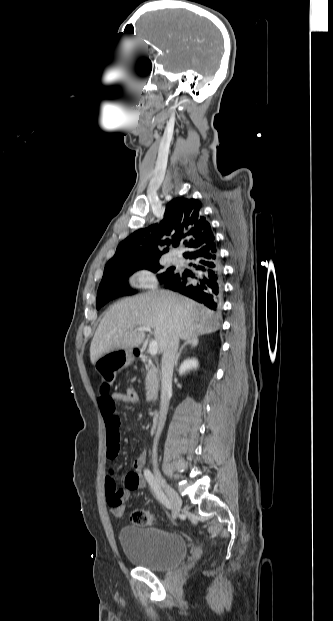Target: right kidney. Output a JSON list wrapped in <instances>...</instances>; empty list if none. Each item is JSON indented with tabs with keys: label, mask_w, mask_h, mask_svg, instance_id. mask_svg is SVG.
Returning <instances> with one entry per match:
<instances>
[{
	"label": "right kidney",
	"mask_w": 333,
	"mask_h": 621,
	"mask_svg": "<svg viewBox=\"0 0 333 621\" xmlns=\"http://www.w3.org/2000/svg\"><path fill=\"white\" fill-rule=\"evenodd\" d=\"M198 367V361L195 358H188L184 360L179 367V374L183 375L185 372Z\"/></svg>",
	"instance_id": "1"
}]
</instances>
